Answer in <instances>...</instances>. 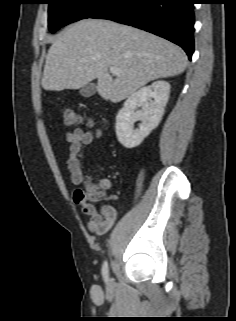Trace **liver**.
Wrapping results in <instances>:
<instances>
[{
    "label": "liver",
    "instance_id": "liver-1",
    "mask_svg": "<svg viewBox=\"0 0 236 321\" xmlns=\"http://www.w3.org/2000/svg\"><path fill=\"white\" fill-rule=\"evenodd\" d=\"M110 67L122 73L110 75ZM183 50L152 33L103 19H84L66 27L46 57L42 87L48 91L79 89L97 79L99 95L113 103L148 82L181 74Z\"/></svg>",
    "mask_w": 236,
    "mask_h": 321
}]
</instances>
